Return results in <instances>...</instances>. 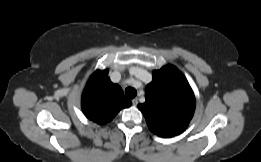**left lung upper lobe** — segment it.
<instances>
[{
    "mask_svg": "<svg viewBox=\"0 0 261 162\" xmlns=\"http://www.w3.org/2000/svg\"><path fill=\"white\" fill-rule=\"evenodd\" d=\"M146 101L138 108L149 129L160 137H173L188 126L195 111V97L184 75L173 65L153 71L145 89Z\"/></svg>",
    "mask_w": 261,
    "mask_h": 162,
    "instance_id": "obj_1",
    "label": "left lung upper lobe"
}]
</instances>
